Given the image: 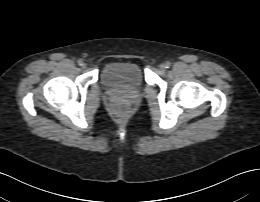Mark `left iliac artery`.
I'll use <instances>...</instances> for the list:
<instances>
[{
	"instance_id": "1",
	"label": "left iliac artery",
	"mask_w": 260,
	"mask_h": 202,
	"mask_svg": "<svg viewBox=\"0 0 260 202\" xmlns=\"http://www.w3.org/2000/svg\"><path fill=\"white\" fill-rule=\"evenodd\" d=\"M170 66H171V63H170L169 61H167V62L165 63V68H170Z\"/></svg>"
}]
</instances>
